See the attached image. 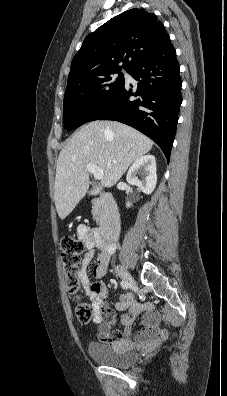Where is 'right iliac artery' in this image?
Here are the masks:
<instances>
[{"mask_svg":"<svg viewBox=\"0 0 227 396\" xmlns=\"http://www.w3.org/2000/svg\"><path fill=\"white\" fill-rule=\"evenodd\" d=\"M120 284H121L122 288L125 289V290H127L129 288V284L126 283L125 281H121Z\"/></svg>","mask_w":227,"mask_h":396,"instance_id":"1","label":"right iliac artery"}]
</instances>
